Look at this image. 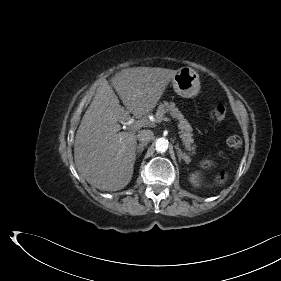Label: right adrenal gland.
<instances>
[{
    "label": "right adrenal gland",
    "instance_id": "obj_1",
    "mask_svg": "<svg viewBox=\"0 0 281 281\" xmlns=\"http://www.w3.org/2000/svg\"><path fill=\"white\" fill-rule=\"evenodd\" d=\"M147 144L146 143H140L136 146V153H135V157L138 155H141V153L143 152L144 150V147L146 146Z\"/></svg>",
    "mask_w": 281,
    "mask_h": 281
}]
</instances>
